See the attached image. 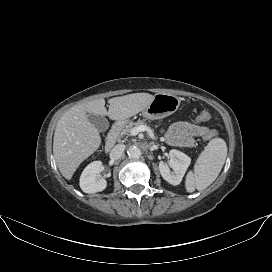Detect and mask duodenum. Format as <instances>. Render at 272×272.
Masks as SVG:
<instances>
[{
	"label": "duodenum",
	"mask_w": 272,
	"mask_h": 272,
	"mask_svg": "<svg viewBox=\"0 0 272 272\" xmlns=\"http://www.w3.org/2000/svg\"><path fill=\"white\" fill-rule=\"evenodd\" d=\"M122 126H123V124L120 121H117L113 124V126L109 132V135L106 139V143H105V147H104L105 152L111 151V149L117 143L118 135H119L120 130L122 129Z\"/></svg>",
	"instance_id": "obj_1"
}]
</instances>
